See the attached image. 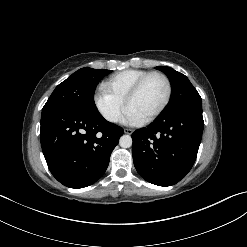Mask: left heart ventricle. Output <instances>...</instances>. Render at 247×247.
<instances>
[{
  "instance_id": "1",
  "label": "left heart ventricle",
  "mask_w": 247,
  "mask_h": 247,
  "mask_svg": "<svg viewBox=\"0 0 247 247\" xmlns=\"http://www.w3.org/2000/svg\"><path fill=\"white\" fill-rule=\"evenodd\" d=\"M166 92L165 81L159 76H153L146 81L139 93L130 101L128 107L145 119L160 107Z\"/></svg>"
}]
</instances>
